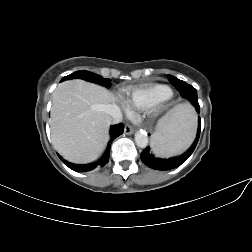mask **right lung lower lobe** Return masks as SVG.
Wrapping results in <instances>:
<instances>
[{"label":"right lung lower lobe","mask_w":252,"mask_h":252,"mask_svg":"<svg viewBox=\"0 0 252 252\" xmlns=\"http://www.w3.org/2000/svg\"><path fill=\"white\" fill-rule=\"evenodd\" d=\"M123 131H124L123 124H117V125L111 126L110 140H109L107 149H106L105 153L103 154V156L97 162L87 164V165H76V164H72L70 162L63 160L59 155L58 156L67 167H69L70 169L77 171V172H88V171L95 169L96 167H103L104 165L107 164V162L109 160L110 144L112 143V141L114 139H116L119 135H121L123 133Z\"/></svg>","instance_id":"right-lung-lower-lobe-1"}]
</instances>
